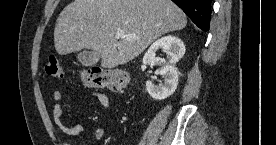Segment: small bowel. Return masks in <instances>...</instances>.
Instances as JSON below:
<instances>
[{
	"mask_svg": "<svg viewBox=\"0 0 276 145\" xmlns=\"http://www.w3.org/2000/svg\"><path fill=\"white\" fill-rule=\"evenodd\" d=\"M92 96L95 97L99 103L104 107L108 108L110 105L109 98L101 92H93ZM54 107H53V119L55 124L59 129L65 133L67 136H76L83 132V126L80 123H74L72 125H67L63 120V107L61 101L63 99V94L61 91H55L53 93ZM105 130L103 128H96L93 130L92 135L95 139H103L105 137ZM67 145V144H65Z\"/></svg>",
	"mask_w": 276,
	"mask_h": 145,
	"instance_id": "1",
	"label": "small bowel"
}]
</instances>
